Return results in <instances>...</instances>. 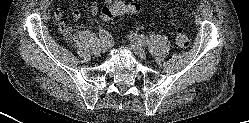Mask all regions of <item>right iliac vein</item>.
I'll list each match as a JSON object with an SVG mask.
<instances>
[{
    "label": "right iliac vein",
    "mask_w": 249,
    "mask_h": 123,
    "mask_svg": "<svg viewBox=\"0 0 249 123\" xmlns=\"http://www.w3.org/2000/svg\"><path fill=\"white\" fill-rule=\"evenodd\" d=\"M109 49V46L107 43H101L100 46H99V50L101 53H105L107 50Z\"/></svg>",
    "instance_id": "obj_1"
}]
</instances>
